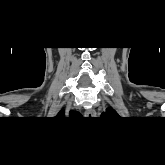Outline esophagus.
I'll use <instances>...</instances> for the list:
<instances>
[{
    "label": "esophagus",
    "mask_w": 165,
    "mask_h": 165,
    "mask_svg": "<svg viewBox=\"0 0 165 165\" xmlns=\"http://www.w3.org/2000/svg\"><path fill=\"white\" fill-rule=\"evenodd\" d=\"M96 112L93 109H89L85 111V116L86 117H93L95 116Z\"/></svg>",
    "instance_id": "34e87169"
}]
</instances>
